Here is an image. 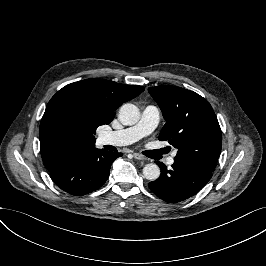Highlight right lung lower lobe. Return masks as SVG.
I'll use <instances>...</instances> for the list:
<instances>
[{
	"label": "right lung lower lobe",
	"instance_id": "1",
	"mask_svg": "<svg viewBox=\"0 0 266 266\" xmlns=\"http://www.w3.org/2000/svg\"><path fill=\"white\" fill-rule=\"evenodd\" d=\"M122 153L81 148L65 154L49 171L54 183L63 191L82 196L100 188L108 179L113 161Z\"/></svg>",
	"mask_w": 266,
	"mask_h": 266
}]
</instances>
